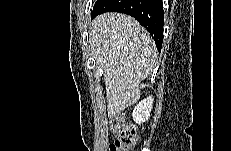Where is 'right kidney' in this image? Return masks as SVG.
<instances>
[{
  "instance_id": "ca27d5eb",
  "label": "right kidney",
  "mask_w": 231,
  "mask_h": 151,
  "mask_svg": "<svg viewBox=\"0 0 231 151\" xmlns=\"http://www.w3.org/2000/svg\"><path fill=\"white\" fill-rule=\"evenodd\" d=\"M153 106V98L147 97L134 108L132 117L135 123L141 124L148 120Z\"/></svg>"
}]
</instances>
